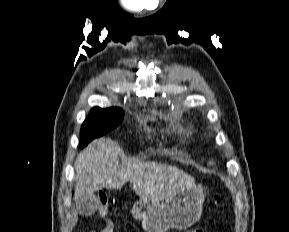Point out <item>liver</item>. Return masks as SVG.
Returning a JSON list of instances; mask_svg holds the SVG:
<instances>
[{"label": "liver", "mask_w": 289, "mask_h": 232, "mask_svg": "<svg viewBox=\"0 0 289 232\" xmlns=\"http://www.w3.org/2000/svg\"><path fill=\"white\" fill-rule=\"evenodd\" d=\"M122 150L117 142L99 138L76 158L74 200L91 197L94 192L120 189L127 181L140 198L159 203L195 185L191 175L176 167L155 162L120 163Z\"/></svg>", "instance_id": "6515ba94"}]
</instances>
